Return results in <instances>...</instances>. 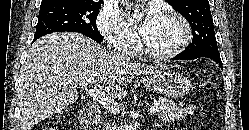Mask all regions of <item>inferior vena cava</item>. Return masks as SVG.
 <instances>
[{
    "instance_id": "1",
    "label": "inferior vena cava",
    "mask_w": 249,
    "mask_h": 130,
    "mask_svg": "<svg viewBox=\"0 0 249 130\" xmlns=\"http://www.w3.org/2000/svg\"><path fill=\"white\" fill-rule=\"evenodd\" d=\"M118 57L120 61H129V58L124 53L119 52ZM106 130H111V127L107 126ZM112 130H115V127H113Z\"/></svg>"
}]
</instances>
